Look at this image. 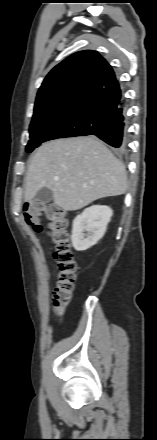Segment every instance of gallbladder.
I'll return each mask as SVG.
<instances>
[{
	"mask_svg": "<svg viewBox=\"0 0 157 440\" xmlns=\"http://www.w3.org/2000/svg\"><path fill=\"white\" fill-rule=\"evenodd\" d=\"M36 200L43 205L48 204L53 200V192L44 187L37 192Z\"/></svg>",
	"mask_w": 157,
	"mask_h": 440,
	"instance_id": "1",
	"label": "gallbladder"
}]
</instances>
